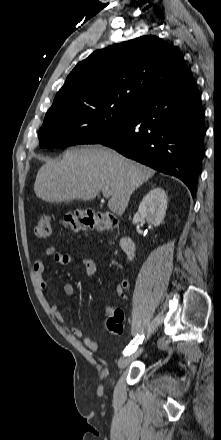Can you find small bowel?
Returning <instances> with one entry per match:
<instances>
[{
  "mask_svg": "<svg viewBox=\"0 0 221 440\" xmlns=\"http://www.w3.org/2000/svg\"><path fill=\"white\" fill-rule=\"evenodd\" d=\"M45 254L47 256L51 257L54 260L55 264L59 265V266L69 265V264H72V263H75L78 261V258H76L72 255L57 252L56 249L52 246H49L46 248ZM80 262H81L82 266L84 267V270H85V273L87 276H93L96 273V264L92 259L82 258L80 260ZM33 270H34V273L37 277L39 286L43 290H47L48 283L42 277L43 273L45 271V265H44L43 260L37 259L33 264ZM127 288H128V282L126 280H122L117 287V294L122 295L124 290H126ZM62 291H63L64 295H66V296H73L75 294L74 285L71 283H68V282L64 283L62 286ZM107 307L110 310H113L114 308H116L115 305H113V304H111ZM50 309H51V312L53 313V315L55 316V318L57 319V321H59L61 323L65 322V316L60 311L59 307L56 304H52L50 306ZM71 333L76 338H82L84 345L88 349H90L92 351H95L98 349L97 342L89 336H84L83 331L80 328L73 327L71 329Z\"/></svg>",
  "mask_w": 221,
  "mask_h": 440,
  "instance_id": "c3829d8e",
  "label": "small bowel"
}]
</instances>
